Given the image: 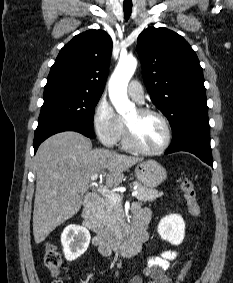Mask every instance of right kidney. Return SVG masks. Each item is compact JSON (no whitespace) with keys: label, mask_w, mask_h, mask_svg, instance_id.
I'll return each instance as SVG.
<instances>
[{"label":"right kidney","mask_w":233,"mask_h":283,"mask_svg":"<svg viewBox=\"0 0 233 283\" xmlns=\"http://www.w3.org/2000/svg\"><path fill=\"white\" fill-rule=\"evenodd\" d=\"M90 238V233L85 227L78 225L67 226L61 235L65 258L68 261H73L80 257L87 250Z\"/></svg>","instance_id":"1"}]
</instances>
